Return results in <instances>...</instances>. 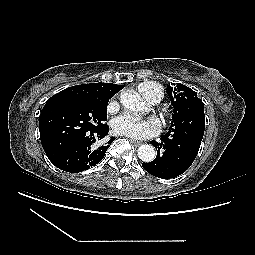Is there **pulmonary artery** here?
Instances as JSON below:
<instances>
[{
	"label": "pulmonary artery",
	"instance_id": "e3ab8cb5",
	"mask_svg": "<svg viewBox=\"0 0 255 255\" xmlns=\"http://www.w3.org/2000/svg\"><path fill=\"white\" fill-rule=\"evenodd\" d=\"M151 104H156V103H158V101L157 100H154V101H152V102H150Z\"/></svg>",
	"mask_w": 255,
	"mask_h": 255
}]
</instances>
